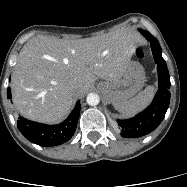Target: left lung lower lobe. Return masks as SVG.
I'll return each instance as SVG.
<instances>
[{
	"label": "left lung lower lobe",
	"instance_id": "left-lung-lower-lobe-1",
	"mask_svg": "<svg viewBox=\"0 0 187 187\" xmlns=\"http://www.w3.org/2000/svg\"><path fill=\"white\" fill-rule=\"evenodd\" d=\"M140 32L150 42L154 60L157 63L159 89L150 106L144 111L131 119L117 120L121 135L126 138H138L156 129L165 117L170 101V76L159 42L149 32L142 30Z\"/></svg>",
	"mask_w": 187,
	"mask_h": 187
}]
</instances>
